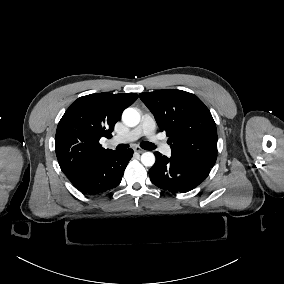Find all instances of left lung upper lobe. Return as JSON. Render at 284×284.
Listing matches in <instances>:
<instances>
[{
	"label": "left lung upper lobe",
	"mask_w": 284,
	"mask_h": 284,
	"mask_svg": "<svg viewBox=\"0 0 284 284\" xmlns=\"http://www.w3.org/2000/svg\"><path fill=\"white\" fill-rule=\"evenodd\" d=\"M169 137L172 156L213 167L217 159V130L209 109L194 94L157 90L139 94Z\"/></svg>",
	"instance_id": "obj_1"
}]
</instances>
